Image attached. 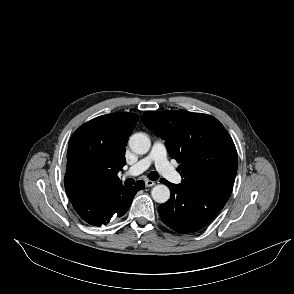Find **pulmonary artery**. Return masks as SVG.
<instances>
[{
	"label": "pulmonary artery",
	"instance_id": "obj_1",
	"mask_svg": "<svg viewBox=\"0 0 294 294\" xmlns=\"http://www.w3.org/2000/svg\"><path fill=\"white\" fill-rule=\"evenodd\" d=\"M152 164L166 178L177 183L181 181L180 174L175 171L167 159L165 144L160 140L155 141L149 154L130 167L124 176L139 175L146 171Z\"/></svg>",
	"mask_w": 294,
	"mask_h": 294
}]
</instances>
